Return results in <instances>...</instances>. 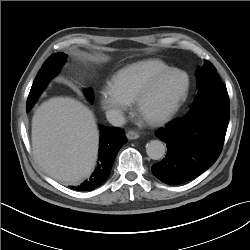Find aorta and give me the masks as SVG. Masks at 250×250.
<instances>
[{"label":"aorta","mask_w":250,"mask_h":250,"mask_svg":"<svg viewBox=\"0 0 250 250\" xmlns=\"http://www.w3.org/2000/svg\"><path fill=\"white\" fill-rule=\"evenodd\" d=\"M147 155L153 160H159L165 155V146L160 140H151L146 147Z\"/></svg>","instance_id":"1"}]
</instances>
